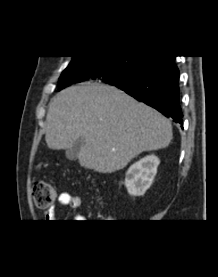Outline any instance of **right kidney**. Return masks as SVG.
Returning <instances> with one entry per match:
<instances>
[{
    "mask_svg": "<svg viewBox=\"0 0 218 277\" xmlns=\"http://www.w3.org/2000/svg\"><path fill=\"white\" fill-rule=\"evenodd\" d=\"M160 161L155 155H148L129 167L125 186L130 195L141 196L150 188Z\"/></svg>",
    "mask_w": 218,
    "mask_h": 277,
    "instance_id": "right-kidney-1",
    "label": "right kidney"
}]
</instances>
